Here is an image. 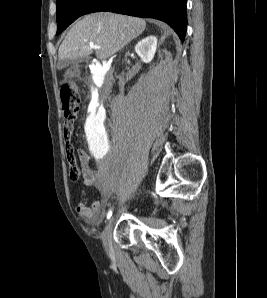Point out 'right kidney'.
<instances>
[{"label":"right kidney","instance_id":"obj_1","mask_svg":"<svg viewBox=\"0 0 267 298\" xmlns=\"http://www.w3.org/2000/svg\"><path fill=\"white\" fill-rule=\"evenodd\" d=\"M157 48V38L149 35L140 40L135 46V52L144 63H150L154 58Z\"/></svg>","mask_w":267,"mask_h":298}]
</instances>
